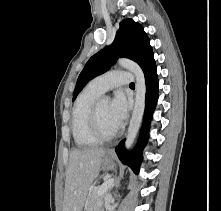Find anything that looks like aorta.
Returning <instances> with one entry per match:
<instances>
[{"label": "aorta", "instance_id": "762f6f07", "mask_svg": "<svg viewBox=\"0 0 221 211\" xmlns=\"http://www.w3.org/2000/svg\"><path fill=\"white\" fill-rule=\"evenodd\" d=\"M118 64L132 72L136 79L135 107L132 113L125 141V147L126 149H129L137 135L145 110L146 82L144 73L137 63L128 59H119ZM105 101H110V97H106Z\"/></svg>", "mask_w": 221, "mask_h": 211}]
</instances>
